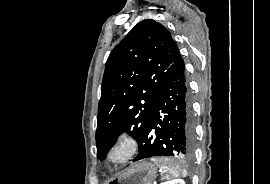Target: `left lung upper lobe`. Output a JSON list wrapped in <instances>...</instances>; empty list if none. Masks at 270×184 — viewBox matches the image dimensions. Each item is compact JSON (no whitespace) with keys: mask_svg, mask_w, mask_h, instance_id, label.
Returning <instances> with one entry per match:
<instances>
[{"mask_svg":"<svg viewBox=\"0 0 270 184\" xmlns=\"http://www.w3.org/2000/svg\"><path fill=\"white\" fill-rule=\"evenodd\" d=\"M180 58L170 32L152 19L139 22L112 50L98 105L99 159L105 158L123 132L140 144L157 96Z\"/></svg>","mask_w":270,"mask_h":184,"instance_id":"5c2ea615","label":"left lung upper lobe"}]
</instances>
